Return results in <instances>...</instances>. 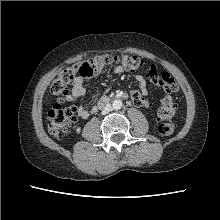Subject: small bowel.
<instances>
[{
  "label": "small bowel",
  "mask_w": 220,
  "mask_h": 220,
  "mask_svg": "<svg viewBox=\"0 0 220 220\" xmlns=\"http://www.w3.org/2000/svg\"><path fill=\"white\" fill-rule=\"evenodd\" d=\"M103 70V65L90 69L89 73L86 75H78L72 82L71 92L68 96V100L73 102L76 106V113L81 118H87L91 114L97 111V107L93 106L91 108H85L79 105L80 99L87 94V89L84 85L86 79L99 75ZM114 72L121 74L123 72V67L120 65L115 66ZM136 80L139 83V90H132L130 92V97L132 102L136 106H147L148 102L144 98L147 94V83L142 75H137Z\"/></svg>",
  "instance_id": "1"
}]
</instances>
